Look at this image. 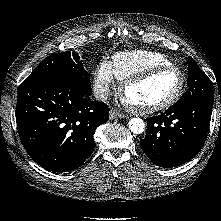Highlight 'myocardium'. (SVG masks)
Listing matches in <instances>:
<instances>
[{"label":"myocardium","mask_w":221,"mask_h":221,"mask_svg":"<svg viewBox=\"0 0 221 221\" xmlns=\"http://www.w3.org/2000/svg\"><path fill=\"white\" fill-rule=\"evenodd\" d=\"M164 71H177L180 74V85L176 92L167 100L151 105V106H137L129 101L126 100L125 94L126 91L129 87L138 84L153 75L164 72ZM186 86V75L184 71L179 68L178 66L175 65H162V66H155V67H150L148 69H145L143 71H140L126 79H124L120 85V97L122 102L132 111L136 113H141V114H150V113H155L158 111L165 110L166 108L172 106L178 99L182 96L184 89Z\"/></svg>","instance_id":"obj_1"}]
</instances>
